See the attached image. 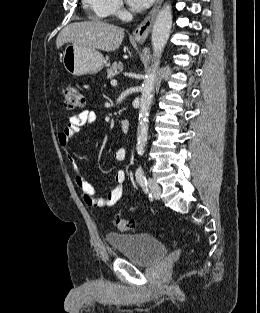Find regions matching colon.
Returning a JSON list of instances; mask_svg holds the SVG:
<instances>
[{
    "label": "colon",
    "instance_id": "1",
    "mask_svg": "<svg viewBox=\"0 0 260 313\" xmlns=\"http://www.w3.org/2000/svg\"><path fill=\"white\" fill-rule=\"evenodd\" d=\"M63 100L64 106L67 109H76L83 105L84 98L79 89L74 84H65L63 86ZM114 225L118 231L122 233H129L135 231V223L133 221L117 218Z\"/></svg>",
    "mask_w": 260,
    "mask_h": 313
}]
</instances>
